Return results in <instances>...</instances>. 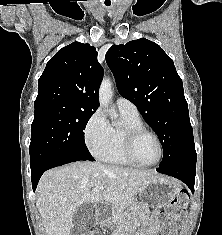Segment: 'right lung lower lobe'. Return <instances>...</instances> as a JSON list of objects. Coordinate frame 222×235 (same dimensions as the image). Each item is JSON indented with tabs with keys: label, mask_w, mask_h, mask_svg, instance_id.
<instances>
[{
	"label": "right lung lower lobe",
	"mask_w": 222,
	"mask_h": 235,
	"mask_svg": "<svg viewBox=\"0 0 222 235\" xmlns=\"http://www.w3.org/2000/svg\"><path fill=\"white\" fill-rule=\"evenodd\" d=\"M80 160L94 161V159L77 158V157L56 158V159H52V160L45 162L44 164H42L38 168L32 169L31 170V181H32L33 190L35 191L40 177L42 176V174L46 170L57 167V166L64 165L66 163H71V162L80 161Z\"/></svg>",
	"instance_id": "1"
}]
</instances>
